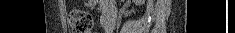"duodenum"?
Returning a JSON list of instances; mask_svg holds the SVG:
<instances>
[{"label":"duodenum","mask_w":235,"mask_h":33,"mask_svg":"<svg viewBox=\"0 0 235 33\" xmlns=\"http://www.w3.org/2000/svg\"><path fill=\"white\" fill-rule=\"evenodd\" d=\"M115 11L112 10L108 13L105 22H104V30L106 33H111L115 26Z\"/></svg>","instance_id":"duodenum-1"}]
</instances>
